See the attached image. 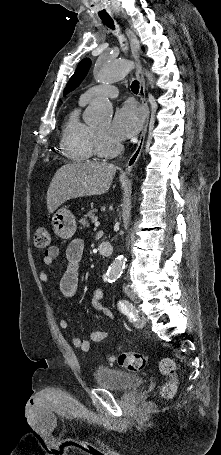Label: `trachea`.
I'll return each mask as SVG.
<instances>
[{"mask_svg":"<svg viewBox=\"0 0 221 455\" xmlns=\"http://www.w3.org/2000/svg\"><path fill=\"white\" fill-rule=\"evenodd\" d=\"M102 21L110 28V29H114V22L111 18H107V19H102ZM131 90L133 93L137 94L138 91H139V82L137 80H134L131 84Z\"/></svg>","mask_w":221,"mask_h":455,"instance_id":"trachea-1","label":"trachea"}]
</instances>
